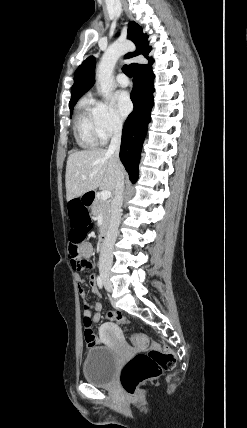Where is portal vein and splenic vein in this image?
Wrapping results in <instances>:
<instances>
[{
	"label": "portal vein and splenic vein",
	"instance_id": "1",
	"mask_svg": "<svg viewBox=\"0 0 247 428\" xmlns=\"http://www.w3.org/2000/svg\"><path fill=\"white\" fill-rule=\"evenodd\" d=\"M82 178L86 179L87 177L83 176ZM100 197H101L102 200L109 199L111 197V191H109V190H102L101 194H100Z\"/></svg>",
	"mask_w": 247,
	"mask_h": 428
}]
</instances>
